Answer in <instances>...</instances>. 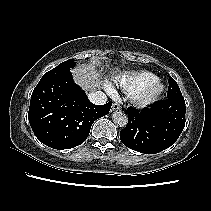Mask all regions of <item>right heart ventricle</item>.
Wrapping results in <instances>:
<instances>
[{"label": "right heart ventricle", "mask_w": 211, "mask_h": 211, "mask_svg": "<svg viewBox=\"0 0 211 211\" xmlns=\"http://www.w3.org/2000/svg\"><path fill=\"white\" fill-rule=\"evenodd\" d=\"M155 79H157V76L154 73L143 70L125 72L118 76L115 79V82L125 93L131 95L139 88Z\"/></svg>", "instance_id": "e07e8e85"}]
</instances>
